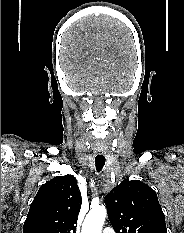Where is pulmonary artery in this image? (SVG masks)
<instances>
[{"label": "pulmonary artery", "mask_w": 184, "mask_h": 233, "mask_svg": "<svg viewBox=\"0 0 184 233\" xmlns=\"http://www.w3.org/2000/svg\"><path fill=\"white\" fill-rule=\"evenodd\" d=\"M102 233H115V231L110 227H106L103 229Z\"/></svg>", "instance_id": "e3ab8cb5"}]
</instances>
